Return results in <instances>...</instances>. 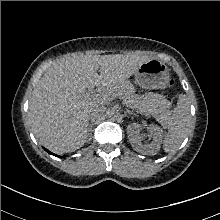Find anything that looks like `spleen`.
Instances as JSON below:
<instances>
[{
  "label": "spleen",
  "instance_id": "1",
  "mask_svg": "<svg viewBox=\"0 0 220 220\" xmlns=\"http://www.w3.org/2000/svg\"><path fill=\"white\" fill-rule=\"evenodd\" d=\"M190 125V109L186 95H180L177 106L168 121V133L163 140V149L173 153L182 144L188 134Z\"/></svg>",
  "mask_w": 220,
  "mask_h": 220
}]
</instances>
